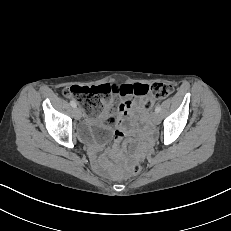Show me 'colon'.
Returning <instances> with one entry per match:
<instances>
[{
  "mask_svg": "<svg viewBox=\"0 0 231 231\" xmlns=\"http://www.w3.org/2000/svg\"><path fill=\"white\" fill-rule=\"evenodd\" d=\"M172 86L164 83H154L151 86L146 84H134L132 87H121L116 84H102L96 86H71L63 90L65 97H72L89 114L100 113L105 106V102L123 96L125 92H132L135 97H139L143 107L150 109L154 100L168 97L172 93ZM142 165L135 163L130 172L134 175L142 171Z\"/></svg>",
  "mask_w": 231,
  "mask_h": 231,
  "instance_id": "5ec220e1",
  "label": "colon"
}]
</instances>
